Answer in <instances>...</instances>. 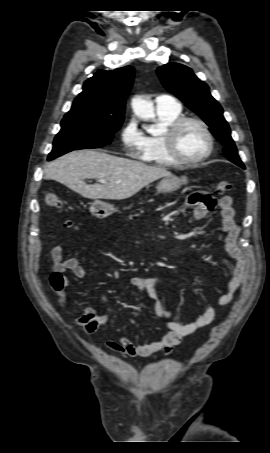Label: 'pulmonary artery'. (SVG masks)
Instances as JSON below:
<instances>
[{"label":"pulmonary artery","instance_id":"pulmonary-artery-1","mask_svg":"<svg viewBox=\"0 0 270 453\" xmlns=\"http://www.w3.org/2000/svg\"><path fill=\"white\" fill-rule=\"evenodd\" d=\"M155 106L157 112L176 111L181 109V106L178 103V101L168 94H162L157 96L155 98Z\"/></svg>","mask_w":270,"mask_h":453}]
</instances>
